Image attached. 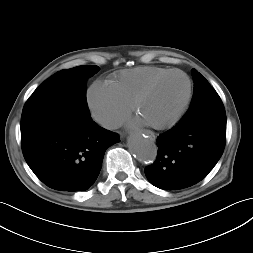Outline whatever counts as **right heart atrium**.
Wrapping results in <instances>:
<instances>
[{
  "instance_id": "1",
  "label": "right heart atrium",
  "mask_w": 253,
  "mask_h": 253,
  "mask_svg": "<svg viewBox=\"0 0 253 253\" xmlns=\"http://www.w3.org/2000/svg\"><path fill=\"white\" fill-rule=\"evenodd\" d=\"M86 99L94 119L107 128L117 127L130 113V106L108 82L97 80L92 83Z\"/></svg>"
}]
</instances>
